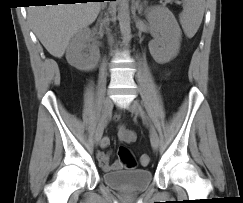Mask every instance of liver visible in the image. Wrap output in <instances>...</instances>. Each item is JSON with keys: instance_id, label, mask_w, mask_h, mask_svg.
Returning <instances> with one entry per match:
<instances>
[{"instance_id": "obj_1", "label": "liver", "mask_w": 243, "mask_h": 203, "mask_svg": "<svg viewBox=\"0 0 243 203\" xmlns=\"http://www.w3.org/2000/svg\"><path fill=\"white\" fill-rule=\"evenodd\" d=\"M100 7V2L31 6L28 16L43 46L61 58L73 35L95 21Z\"/></svg>"}]
</instances>
